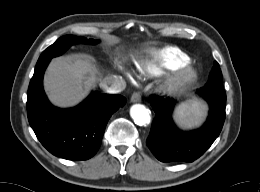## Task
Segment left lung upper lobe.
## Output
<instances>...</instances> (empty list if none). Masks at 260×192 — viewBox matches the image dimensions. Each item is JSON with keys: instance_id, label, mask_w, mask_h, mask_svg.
<instances>
[{"instance_id": "left-lung-upper-lobe-1", "label": "left lung upper lobe", "mask_w": 260, "mask_h": 192, "mask_svg": "<svg viewBox=\"0 0 260 192\" xmlns=\"http://www.w3.org/2000/svg\"><path fill=\"white\" fill-rule=\"evenodd\" d=\"M222 73L220 70V66L217 62L210 73L209 81L206 84V87H222Z\"/></svg>"}]
</instances>
